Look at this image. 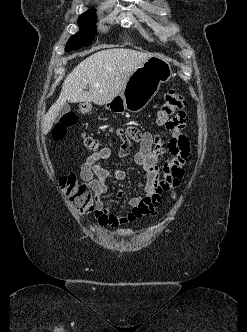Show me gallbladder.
Here are the masks:
<instances>
[{
	"mask_svg": "<svg viewBox=\"0 0 247 332\" xmlns=\"http://www.w3.org/2000/svg\"><path fill=\"white\" fill-rule=\"evenodd\" d=\"M70 111V106L68 104H64L60 107V110L58 112V117H61L62 115L68 113Z\"/></svg>",
	"mask_w": 247,
	"mask_h": 332,
	"instance_id": "1",
	"label": "gallbladder"
}]
</instances>
